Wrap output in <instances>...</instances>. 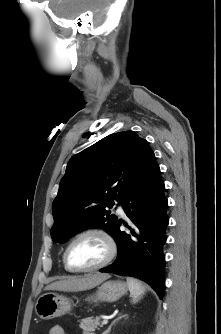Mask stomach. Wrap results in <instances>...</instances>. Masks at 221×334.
Segmentation results:
<instances>
[{
	"label": "stomach",
	"instance_id": "1",
	"mask_svg": "<svg viewBox=\"0 0 221 334\" xmlns=\"http://www.w3.org/2000/svg\"><path fill=\"white\" fill-rule=\"evenodd\" d=\"M128 290L123 281L109 280L104 282L95 295L90 297L94 302H115L119 300ZM72 304L64 295L49 292L41 295L35 305V312L41 319L48 320L69 313Z\"/></svg>",
	"mask_w": 221,
	"mask_h": 334
}]
</instances>
